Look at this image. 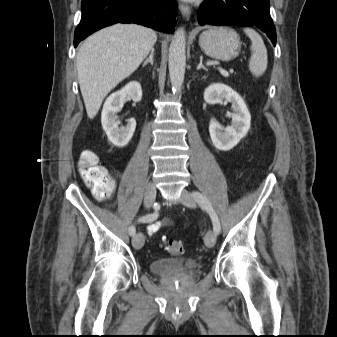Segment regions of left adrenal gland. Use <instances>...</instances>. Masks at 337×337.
<instances>
[{
	"label": "left adrenal gland",
	"instance_id": "left-adrenal-gland-1",
	"mask_svg": "<svg viewBox=\"0 0 337 337\" xmlns=\"http://www.w3.org/2000/svg\"><path fill=\"white\" fill-rule=\"evenodd\" d=\"M204 69L205 71H208V69L202 64V56L200 57V63L197 66V70Z\"/></svg>",
	"mask_w": 337,
	"mask_h": 337
}]
</instances>
